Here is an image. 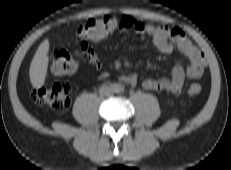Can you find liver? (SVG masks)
Returning <instances> with one entry per match:
<instances>
[{
	"label": "liver",
	"mask_w": 231,
	"mask_h": 170,
	"mask_svg": "<svg viewBox=\"0 0 231 170\" xmlns=\"http://www.w3.org/2000/svg\"><path fill=\"white\" fill-rule=\"evenodd\" d=\"M49 40L45 39L36 50L29 69V77L34 88L39 89L44 85L48 69Z\"/></svg>",
	"instance_id": "1"
}]
</instances>
